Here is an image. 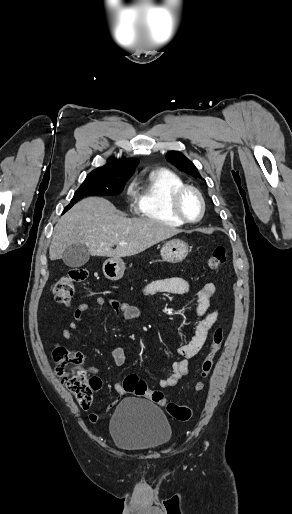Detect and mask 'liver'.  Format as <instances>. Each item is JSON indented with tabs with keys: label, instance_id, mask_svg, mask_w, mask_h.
Returning <instances> with one entry per match:
<instances>
[{
	"label": "liver",
	"instance_id": "obj_1",
	"mask_svg": "<svg viewBox=\"0 0 292 514\" xmlns=\"http://www.w3.org/2000/svg\"><path fill=\"white\" fill-rule=\"evenodd\" d=\"M104 198H85L61 216L54 228L50 260H60L71 244H86L91 256L125 258L176 236L182 230L149 218H124ZM116 246V250H112Z\"/></svg>",
	"mask_w": 292,
	"mask_h": 514
}]
</instances>
